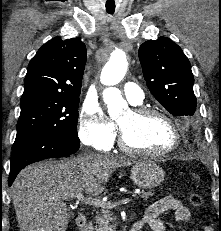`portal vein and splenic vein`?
Listing matches in <instances>:
<instances>
[{"label":"portal vein and splenic vein","instance_id":"1","mask_svg":"<svg viewBox=\"0 0 221 231\" xmlns=\"http://www.w3.org/2000/svg\"><path fill=\"white\" fill-rule=\"evenodd\" d=\"M76 198H77V201L78 202H82L86 205H93V206H96V207H106V208H112L114 206H117V205H122V204H127L129 202L132 201V197H124L120 200H118L117 202H114V203H111V202H104L100 199H96V198H88V197H85L83 195V193H78L76 195Z\"/></svg>","mask_w":221,"mask_h":231}]
</instances>
